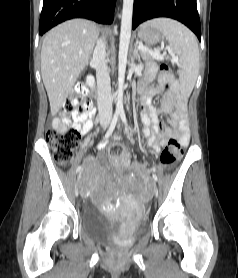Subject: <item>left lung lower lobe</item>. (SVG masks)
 Here are the masks:
<instances>
[{"instance_id": "1", "label": "left lung lower lobe", "mask_w": 238, "mask_h": 278, "mask_svg": "<svg viewBox=\"0 0 238 278\" xmlns=\"http://www.w3.org/2000/svg\"><path fill=\"white\" fill-rule=\"evenodd\" d=\"M157 17H169L182 22L201 40L196 0H134L133 29L142 22Z\"/></svg>"}]
</instances>
